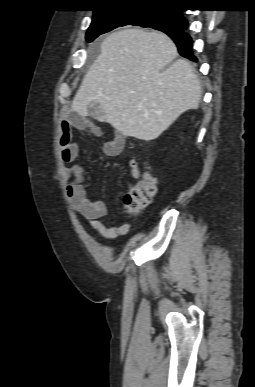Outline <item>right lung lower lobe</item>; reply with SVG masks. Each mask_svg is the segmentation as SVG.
I'll return each mask as SVG.
<instances>
[{"label":"right lung lower lobe","mask_w":255,"mask_h":387,"mask_svg":"<svg viewBox=\"0 0 255 387\" xmlns=\"http://www.w3.org/2000/svg\"><path fill=\"white\" fill-rule=\"evenodd\" d=\"M186 29L187 27L182 29L163 30V32L173 39L181 56L196 62L197 58L192 52V39L186 32Z\"/></svg>","instance_id":"obj_1"}]
</instances>
